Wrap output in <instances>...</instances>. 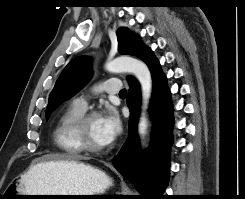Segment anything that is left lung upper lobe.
<instances>
[{"label":"left lung upper lobe","mask_w":245,"mask_h":199,"mask_svg":"<svg viewBox=\"0 0 245 199\" xmlns=\"http://www.w3.org/2000/svg\"><path fill=\"white\" fill-rule=\"evenodd\" d=\"M117 38L118 51L121 54L133 55L145 60L148 53L151 52L135 34L126 29L119 30ZM90 76V60L88 58L78 57L72 60L60 74L49 96L46 119L56 107L77 93L88 82Z\"/></svg>","instance_id":"obj_1"}]
</instances>
